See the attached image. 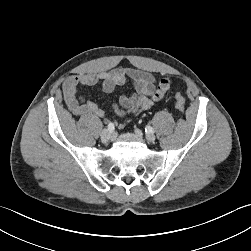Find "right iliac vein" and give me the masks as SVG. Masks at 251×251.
I'll use <instances>...</instances> for the list:
<instances>
[{
    "mask_svg": "<svg viewBox=\"0 0 251 251\" xmlns=\"http://www.w3.org/2000/svg\"><path fill=\"white\" fill-rule=\"evenodd\" d=\"M100 136H101V140L103 142H107L111 138L112 132L109 129H104V130H102Z\"/></svg>",
    "mask_w": 251,
    "mask_h": 251,
    "instance_id": "right-iliac-vein-1",
    "label": "right iliac vein"
}]
</instances>
